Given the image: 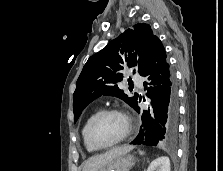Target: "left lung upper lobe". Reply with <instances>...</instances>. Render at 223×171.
<instances>
[{
	"mask_svg": "<svg viewBox=\"0 0 223 171\" xmlns=\"http://www.w3.org/2000/svg\"><path fill=\"white\" fill-rule=\"evenodd\" d=\"M158 41L160 39L153 34L149 24L138 23L91 56L83 67L73 94L74 123L83 109L101 95L119 97L135 108L138 95L128 97L116 83L123 79L121 71L125 66L138 64L139 74L143 76Z\"/></svg>",
	"mask_w": 223,
	"mask_h": 171,
	"instance_id": "5c2ea615",
	"label": "left lung upper lobe"
}]
</instances>
